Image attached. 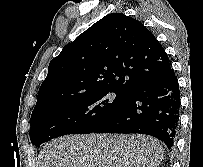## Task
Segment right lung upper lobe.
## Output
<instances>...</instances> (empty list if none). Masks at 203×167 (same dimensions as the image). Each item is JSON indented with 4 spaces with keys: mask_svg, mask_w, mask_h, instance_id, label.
Segmentation results:
<instances>
[{
    "mask_svg": "<svg viewBox=\"0 0 203 167\" xmlns=\"http://www.w3.org/2000/svg\"><path fill=\"white\" fill-rule=\"evenodd\" d=\"M170 69V60L151 31L138 20L111 13L50 62L33 111L99 91L126 95Z\"/></svg>",
    "mask_w": 203,
    "mask_h": 167,
    "instance_id": "cb5924a9",
    "label": "right lung upper lobe"
}]
</instances>
